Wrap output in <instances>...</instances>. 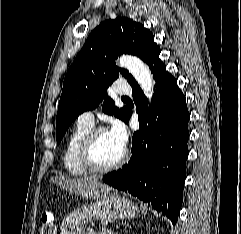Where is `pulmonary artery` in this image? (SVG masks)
I'll return each mask as SVG.
<instances>
[{
    "label": "pulmonary artery",
    "instance_id": "1",
    "mask_svg": "<svg viewBox=\"0 0 241 234\" xmlns=\"http://www.w3.org/2000/svg\"><path fill=\"white\" fill-rule=\"evenodd\" d=\"M115 92L119 95H128L131 93V88L129 85L125 83H119L115 86ZM78 121L93 126L95 122L93 112L91 111L83 112L82 114L79 115Z\"/></svg>",
    "mask_w": 241,
    "mask_h": 234
}]
</instances>
